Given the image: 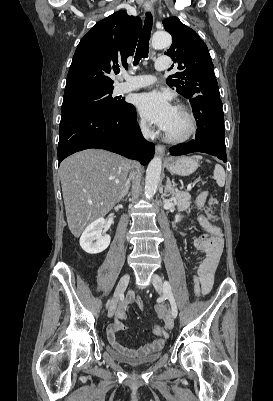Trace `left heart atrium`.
I'll return each instance as SVG.
<instances>
[{
  "label": "left heart atrium",
  "instance_id": "obj_1",
  "mask_svg": "<svg viewBox=\"0 0 273 401\" xmlns=\"http://www.w3.org/2000/svg\"><path fill=\"white\" fill-rule=\"evenodd\" d=\"M137 108L144 120L162 130H166L175 111L170 99L157 92L140 94L137 98Z\"/></svg>",
  "mask_w": 273,
  "mask_h": 401
}]
</instances>
